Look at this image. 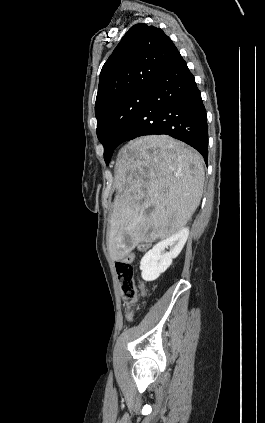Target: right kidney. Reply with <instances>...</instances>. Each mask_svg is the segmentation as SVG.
Segmentation results:
<instances>
[{
  "label": "right kidney",
  "mask_w": 265,
  "mask_h": 423,
  "mask_svg": "<svg viewBox=\"0 0 265 423\" xmlns=\"http://www.w3.org/2000/svg\"><path fill=\"white\" fill-rule=\"evenodd\" d=\"M188 236L189 229L183 228L148 251L140 262L143 280L154 281L164 273L171 265L172 260L182 251ZM168 247H170V251L165 252V248Z\"/></svg>",
  "instance_id": "right-kidney-1"
}]
</instances>
